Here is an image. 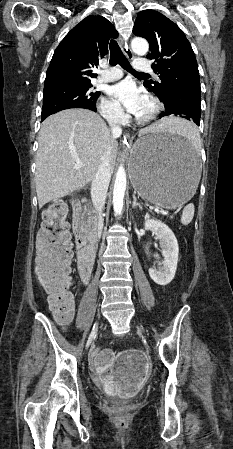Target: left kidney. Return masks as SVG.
Instances as JSON below:
<instances>
[{
  "label": "left kidney",
  "mask_w": 233,
  "mask_h": 449,
  "mask_svg": "<svg viewBox=\"0 0 233 449\" xmlns=\"http://www.w3.org/2000/svg\"><path fill=\"white\" fill-rule=\"evenodd\" d=\"M144 228L153 231L160 241L163 260L159 268L149 269L150 278L158 285L169 284L176 273L179 246L172 230L163 222L154 219H145Z\"/></svg>",
  "instance_id": "5707ae66"
}]
</instances>
